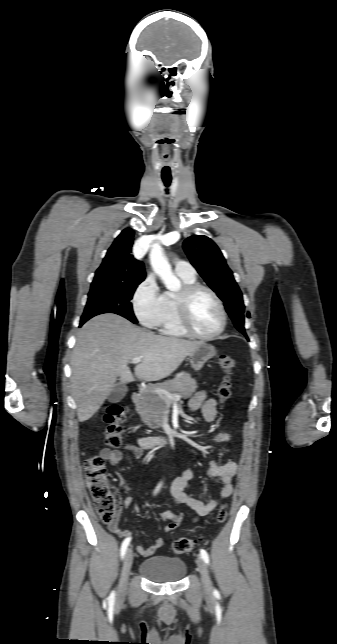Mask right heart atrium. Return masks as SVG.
Returning <instances> with one entry per match:
<instances>
[{
	"instance_id": "obj_1",
	"label": "right heart atrium",
	"mask_w": 337,
	"mask_h": 644,
	"mask_svg": "<svg viewBox=\"0 0 337 644\" xmlns=\"http://www.w3.org/2000/svg\"><path fill=\"white\" fill-rule=\"evenodd\" d=\"M133 308L140 323L155 327L162 313V294L154 277H147L133 295Z\"/></svg>"
}]
</instances>
